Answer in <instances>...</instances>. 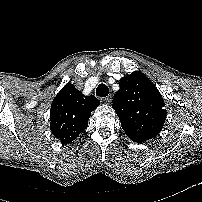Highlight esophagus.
Wrapping results in <instances>:
<instances>
[{
  "label": "esophagus",
  "mask_w": 202,
  "mask_h": 202,
  "mask_svg": "<svg viewBox=\"0 0 202 202\" xmlns=\"http://www.w3.org/2000/svg\"><path fill=\"white\" fill-rule=\"evenodd\" d=\"M101 101H102V102H105V103H107V104H110L111 101H112V96L109 95V96H107V97H105V98H101Z\"/></svg>",
  "instance_id": "obj_1"
}]
</instances>
